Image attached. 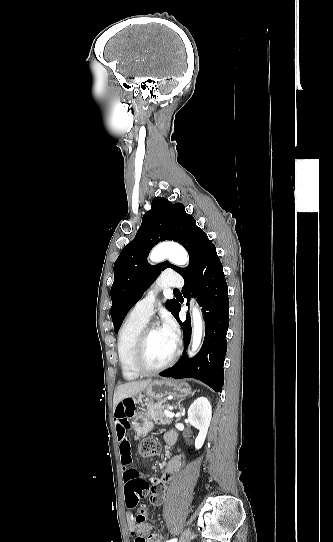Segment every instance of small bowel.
<instances>
[{"label": "small bowel", "mask_w": 333, "mask_h": 542, "mask_svg": "<svg viewBox=\"0 0 333 542\" xmlns=\"http://www.w3.org/2000/svg\"><path fill=\"white\" fill-rule=\"evenodd\" d=\"M134 407L132 400H120L118 406L114 411V423H115V433L116 441L118 446V452L121 458V461L125 464L129 463L131 458V443L129 439L128 429L131 420L133 419L134 412L132 411ZM171 433V432H170ZM168 433V434H170ZM165 435V441L170 444L167 435ZM181 467V460L179 457H174L168 463L164 474L159 479V483H165L172 479V476L177 472ZM131 470H126L124 472V480L129 483L131 480ZM131 491L129 489V495ZM163 496L159 493H155L151 496V502L155 505H160L162 503ZM129 514V530L132 534H148L152 529L150 523H139L136 521L138 513L133 514L130 510L127 512ZM159 537V535L154 534ZM161 539V538H160Z\"/></svg>", "instance_id": "1"}]
</instances>
